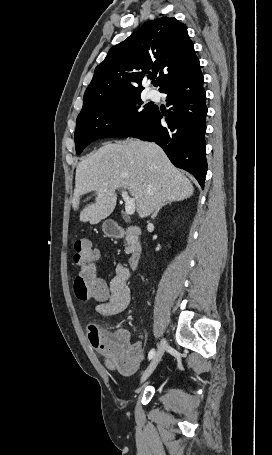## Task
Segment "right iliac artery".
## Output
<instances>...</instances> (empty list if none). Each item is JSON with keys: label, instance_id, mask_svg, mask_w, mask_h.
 <instances>
[{"label": "right iliac artery", "instance_id": "obj_1", "mask_svg": "<svg viewBox=\"0 0 272 455\" xmlns=\"http://www.w3.org/2000/svg\"><path fill=\"white\" fill-rule=\"evenodd\" d=\"M154 355H155V350L154 349L150 350V352L148 354V359L151 360Z\"/></svg>", "mask_w": 272, "mask_h": 455}]
</instances>
